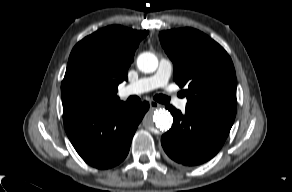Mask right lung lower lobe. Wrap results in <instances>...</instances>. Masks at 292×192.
<instances>
[{
    "mask_svg": "<svg viewBox=\"0 0 292 192\" xmlns=\"http://www.w3.org/2000/svg\"><path fill=\"white\" fill-rule=\"evenodd\" d=\"M149 109V103L125 102L107 109L83 108L63 111L64 127L81 158L98 169L121 163L132 137Z\"/></svg>",
    "mask_w": 292,
    "mask_h": 192,
    "instance_id": "1",
    "label": "right lung lower lobe"
}]
</instances>
